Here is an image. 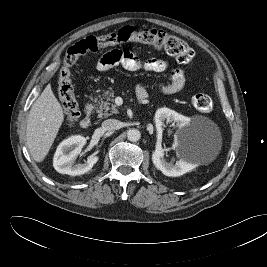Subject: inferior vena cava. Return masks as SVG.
<instances>
[{
  "label": "inferior vena cava",
  "instance_id": "obj_1",
  "mask_svg": "<svg viewBox=\"0 0 267 267\" xmlns=\"http://www.w3.org/2000/svg\"><path fill=\"white\" fill-rule=\"evenodd\" d=\"M121 123L116 119H107L102 122V128L106 131H114L120 129Z\"/></svg>",
  "mask_w": 267,
  "mask_h": 267
}]
</instances>
